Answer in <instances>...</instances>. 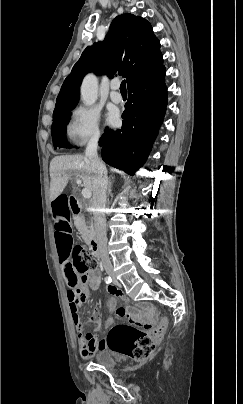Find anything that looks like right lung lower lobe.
<instances>
[{
	"mask_svg": "<svg viewBox=\"0 0 243 404\" xmlns=\"http://www.w3.org/2000/svg\"><path fill=\"white\" fill-rule=\"evenodd\" d=\"M165 67L128 86L129 100L118 130L107 129L102 135L103 160L133 175L147 159L167 106Z\"/></svg>",
	"mask_w": 243,
	"mask_h": 404,
	"instance_id": "right-lung-lower-lobe-1",
	"label": "right lung lower lobe"
}]
</instances>
